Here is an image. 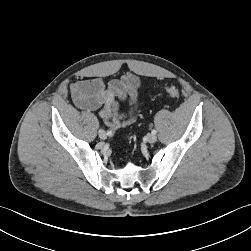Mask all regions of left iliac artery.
<instances>
[{
  "instance_id": "left-iliac-artery-1",
  "label": "left iliac artery",
  "mask_w": 251,
  "mask_h": 251,
  "mask_svg": "<svg viewBox=\"0 0 251 251\" xmlns=\"http://www.w3.org/2000/svg\"><path fill=\"white\" fill-rule=\"evenodd\" d=\"M151 132H152V134H156L157 133V131L154 130V129Z\"/></svg>"
}]
</instances>
